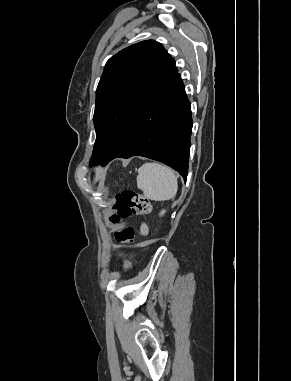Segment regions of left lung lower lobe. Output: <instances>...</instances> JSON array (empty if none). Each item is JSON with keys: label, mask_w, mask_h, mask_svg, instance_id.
I'll list each match as a JSON object with an SVG mask.
<instances>
[{"label": "left lung lower lobe", "mask_w": 291, "mask_h": 381, "mask_svg": "<svg viewBox=\"0 0 291 381\" xmlns=\"http://www.w3.org/2000/svg\"><path fill=\"white\" fill-rule=\"evenodd\" d=\"M191 131V106L177 73L145 105L123 139L100 164L139 155L169 165L186 181Z\"/></svg>", "instance_id": "0a47b994"}]
</instances>
